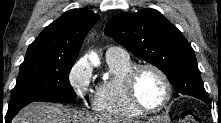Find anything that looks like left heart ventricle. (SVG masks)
Returning <instances> with one entry per match:
<instances>
[{
  "mask_svg": "<svg viewBox=\"0 0 221 123\" xmlns=\"http://www.w3.org/2000/svg\"><path fill=\"white\" fill-rule=\"evenodd\" d=\"M136 93L144 106L155 108L165 98V86L157 73L146 69L141 71L137 77Z\"/></svg>",
  "mask_w": 221,
  "mask_h": 123,
  "instance_id": "obj_1",
  "label": "left heart ventricle"
}]
</instances>
